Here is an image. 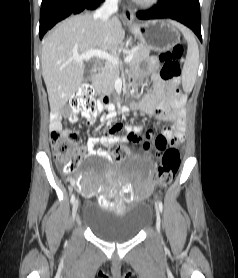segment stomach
Here are the masks:
<instances>
[{
	"label": "stomach",
	"instance_id": "obj_1",
	"mask_svg": "<svg viewBox=\"0 0 238 278\" xmlns=\"http://www.w3.org/2000/svg\"><path fill=\"white\" fill-rule=\"evenodd\" d=\"M129 28L142 45L157 51L171 49L180 41V33L171 21L149 20Z\"/></svg>",
	"mask_w": 238,
	"mask_h": 278
}]
</instances>
